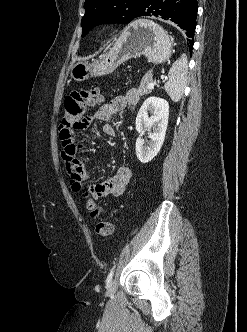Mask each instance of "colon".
Segmentation results:
<instances>
[{"mask_svg": "<svg viewBox=\"0 0 247 332\" xmlns=\"http://www.w3.org/2000/svg\"><path fill=\"white\" fill-rule=\"evenodd\" d=\"M103 99L101 89L94 87L91 89L74 91L68 95L64 101V115L60 125V137L67 143L73 137V130L80 129L85 125L84 116L88 107H93ZM86 207L93 218H100L103 212L101 206L97 205L88 192L83 194ZM113 232V224L108 218H100L96 224V233L106 237Z\"/></svg>", "mask_w": 247, "mask_h": 332, "instance_id": "1", "label": "colon"}]
</instances>
